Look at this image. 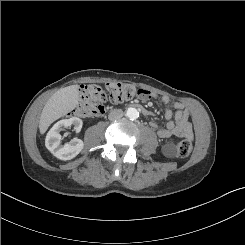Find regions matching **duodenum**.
<instances>
[{"label":"duodenum","instance_id":"duodenum-1","mask_svg":"<svg viewBox=\"0 0 245 245\" xmlns=\"http://www.w3.org/2000/svg\"><path fill=\"white\" fill-rule=\"evenodd\" d=\"M131 106L134 107V108H137V109H138L139 111H141L145 116H149V115H150L149 111H148L147 109H145L143 106H141L140 104L134 103V104H132Z\"/></svg>","mask_w":245,"mask_h":245}]
</instances>
